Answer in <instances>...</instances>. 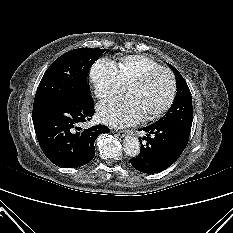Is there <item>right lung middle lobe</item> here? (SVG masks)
Instances as JSON below:
<instances>
[{
  "label": "right lung middle lobe",
  "mask_w": 233,
  "mask_h": 233,
  "mask_svg": "<svg viewBox=\"0 0 233 233\" xmlns=\"http://www.w3.org/2000/svg\"><path fill=\"white\" fill-rule=\"evenodd\" d=\"M106 49L79 48L60 56L47 69L36 91L33 108L90 97L87 75Z\"/></svg>",
  "instance_id": "obj_1"
}]
</instances>
